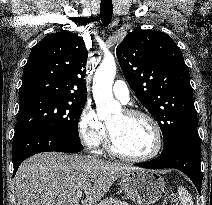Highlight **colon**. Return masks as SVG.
I'll return each instance as SVG.
<instances>
[{
  "label": "colon",
  "mask_w": 212,
  "mask_h": 205,
  "mask_svg": "<svg viewBox=\"0 0 212 205\" xmlns=\"http://www.w3.org/2000/svg\"><path fill=\"white\" fill-rule=\"evenodd\" d=\"M162 205H178L176 195L174 193L167 194Z\"/></svg>",
  "instance_id": "obj_1"
}]
</instances>
